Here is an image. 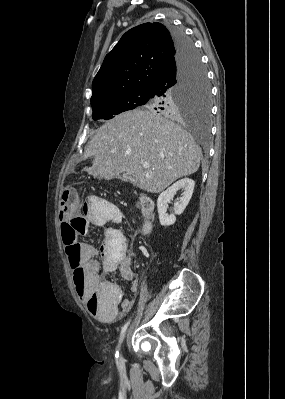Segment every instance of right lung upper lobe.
<instances>
[{
	"label": "right lung upper lobe",
	"mask_w": 285,
	"mask_h": 399,
	"mask_svg": "<svg viewBox=\"0 0 285 399\" xmlns=\"http://www.w3.org/2000/svg\"><path fill=\"white\" fill-rule=\"evenodd\" d=\"M176 55L163 24L144 23L127 31L108 53L93 80L91 100L131 89H149Z\"/></svg>",
	"instance_id": "cb5924a9"
}]
</instances>
